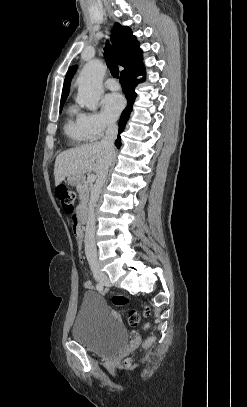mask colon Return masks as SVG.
<instances>
[{
    "instance_id": "5ec220e1",
    "label": "colon",
    "mask_w": 247,
    "mask_h": 407,
    "mask_svg": "<svg viewBox=\"0 0 247 407\" xmlns=\"http://www.w3.org/2000/svg\"><path fill=\"white\" fill-rule=\"evenodd\" d=\"M56 195L61 201L63 211L68 216L75 214V194L69 186L60 185L56 189ZM129 300L124 295H115L112 297V303L117 307H124L128 304ZM149 308H144L142 311L132 309L128 312L127 321L130 325L136 326L140 323L142 317L149 316ZM153 342V338H149L146 345L149 346ZM131 365V360L127 359L124 362L125 367Z\"/></svg>"
}]
</instances>
